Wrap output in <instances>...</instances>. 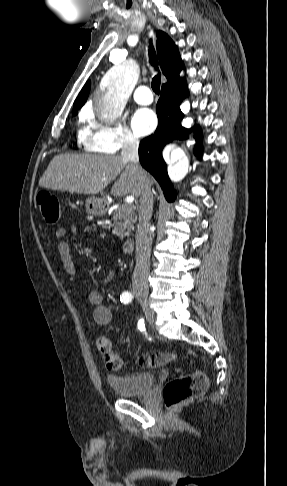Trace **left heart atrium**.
Returning a JSON list of instances; mask_svg holds the SVG:
<instances>
[{"label":"left heart atrium","instance_id":"left-heart-atrium-1","mask_svg":"<svg viewBox=\"0 0 287 486\" xmlns=\"http://www.w3.org/2000/svg\"><path fill=\"white\" fill-rule=\"evenodd\" d=\"M132 127L139 136L149 134L156 126V116L149 109H140L132 117Z\"/></svg>","mask_w":287,"mask_h":486}]
</instances>
